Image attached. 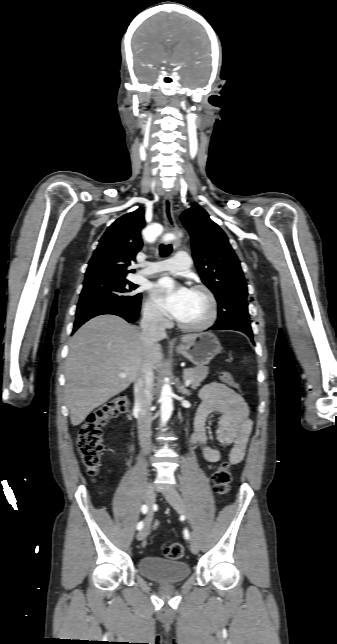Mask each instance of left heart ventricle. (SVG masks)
Returning a JSON list of instances; mask_svg holds the SVG:
<instances>
[{"label":"left heart ventricle","mask_w":337,"mask_h":644,"mask_svg":"<svg viewBox=\"0 0 337 644\" xmlns=\"http://www.w3.org/2000/svg\"><path fill=\"white\" fill-rule=\"evenodd\" d=\"M209 313V305L206 297L200 293L191 291L177 320L184 324L195 325L203 322Z\"/></svg>","instance_id":"left-heart-ventricle-1"}]
</instances>
